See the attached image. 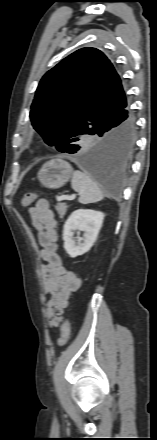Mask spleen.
Segmentation results:
<instances>
[{"label":"spleen","mask_w":157,"mask_h":440,"mask_svg":"<svg viewBox=\"0 0 157 440\" xmlns=\"http://www.w3.org/2000/svg\"><path fill=\"white\" fill-rule=\"evenodd\" d=\"M71 186L80 194L78 202L81 204L96 203L103 199V193L98 185L85 173L74 171Z\"/></svg>","instance_id":"1"}]
</instances>
